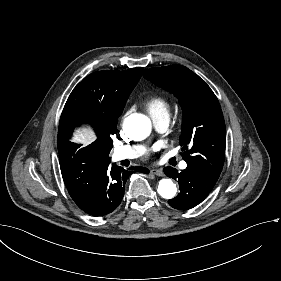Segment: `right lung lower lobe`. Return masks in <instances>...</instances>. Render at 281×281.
I'll return each instance as SVG.
<instances>
[{"instance_id":"98d812e1","label":"right lung lower lobe","mask_w":281,"mask_h":281,"mask_svg":"<svg viewBox=\"0 0 281 281\" xmlns=\"http://www.w3.org/2000/svg\"><path fill=\"white\" fill-rule=\"evenodd\" d=\"M74 149V146L58 149L63 180L77 206L93 216L109 214L119 206L127 178L133 172L149 173L140 166L125 170L115 163L111 165L110 157L93 150Z\"/></svg>"}]
</instances>
